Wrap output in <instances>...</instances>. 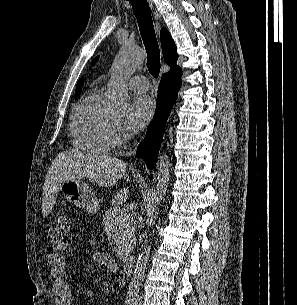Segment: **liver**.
I'll return each mask as SVG.
<instances>
[{
  "label": "liver",
  "instance_id": "1",
  "mask_svg": "<svg viewBox=\"0 0 297 305\" xmlns=\"http://www.w3.org/2000/svg\"><path fill=\"white\" fill-rule=\"evenodd\" d=\"M127 164L117 158L84 154L78 150L60 152L52 161L45 177L42 198V215L46 218L55 204L59 186L67 179H87L102 187H112L126 171ZM128 188H123L112 200L122 204L128 198Z\"/></svg>",
  "mask_w": 297,
  "mask_h": 305
}]
</instances>
